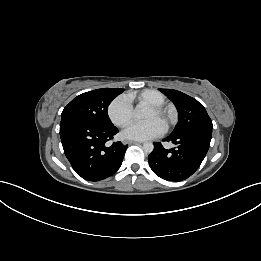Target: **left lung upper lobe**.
<instances>
[{
	"label": "left lung upper lobe",
	"mask_w": 261,
	"mask_h": 261,
	"mask_svg": "<svg viewBox=\"0 0 261 261\" xmlns=\"http://www.w3.org/2000/svg\"><path fill=\"white\" fill-rule=\"evenodd\" d=\"M159 90L168 96L178 111L179 122L172 134L200 128H213L206 109L196 99L177 90Z\"/></svg>",
	"instance_id": "obj_1"
}]
</instances>
